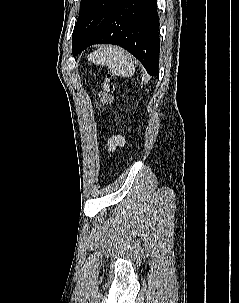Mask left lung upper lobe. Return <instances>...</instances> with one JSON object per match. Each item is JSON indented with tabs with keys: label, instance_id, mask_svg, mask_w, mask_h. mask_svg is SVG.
<instances>
[{
	"label": "left lung upper lobe",
	"instance_id": "obj_1",
	"mask_svg": "<svg viewBox=\"0 0 239 303\" xmlns=\"http://www.w3.org/2000/svg\"><path fill=\"white\" fill-rule=\"evenodd\" d=\"M117 0H81L80 15L72 36V52L80 53V45L86 36L93 31Z\"/></svg>",
	"mask_w": 239,
	"mask_h": 303
}]
</instances>
